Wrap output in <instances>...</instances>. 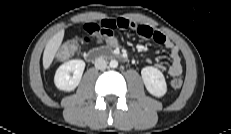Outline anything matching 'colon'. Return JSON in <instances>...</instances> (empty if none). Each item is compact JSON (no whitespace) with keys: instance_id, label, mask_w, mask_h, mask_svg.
I'll return each instance as SVG.
<instances>
[{"instance_id":"1","label":"colon","mask_w":231,"mask_h":134,"mask_svg":"<svg viewBox=\"0 0 231 134\" xmlns=\"http://www.w3.org/2000/svg\"><path fill=\"white\" fill-rule=\"evenodd\" d=\"M76 49V44L74 42H70V43H67L66 45H64L58 52L57 54V58L59 60H66L68 59L69 57L72 56V54L74 53ZM182 79L181 78H174L171 80V86L172 88L174 89H179L181 86H182Z\"/></svg>"}]
</instances>
